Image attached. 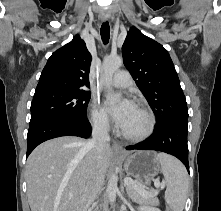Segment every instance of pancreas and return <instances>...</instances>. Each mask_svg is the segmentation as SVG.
I'll return each instance as SVG.
<instances>
[{
	"label": "pancreas",
	"instance_id": "cf45deb5",
	"mask_svg": "<svg viewBox=\"0 0 221 211\" xmlns=\"http://www.w3.org/2000/svg\"><path fill=\"white\" fill-rule=\"evenodd\" d=\"M138 188H142L144 189V186L138 182V181H134V185H128L126 190L127 193L129 195V197L137 202H141V203H149V204H153V205H158L159 201L157 198H155V194H153V197H144L142 196V194L138 191Z\"/></svg>",
	"mask_w": 221,
	"mask_h": 211
}]
</instances>
